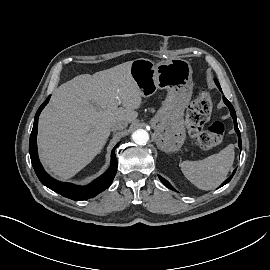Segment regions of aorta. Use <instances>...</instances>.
Here are the masks:
<instances>
[{
	"label": "aorta",
	"instance_id": "762f6f07",
	"mask_svg": "<svg viewBox=\"0 0 270 270\" xmlns=\"http://www.w3.org/2000/svg\"><path fill=\"white\" fill-rule=\"evenodd\" d=\"M132 139L138 145H145L149 140V134L146 130L138 129L133 132Z\"/></svg>",
	"mask_w": 270,
	"mask_h": 270
}]
</instances>
